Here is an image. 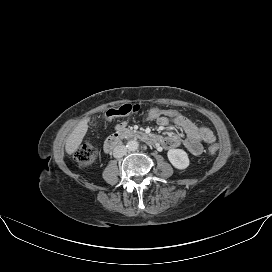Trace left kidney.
I'll list each match as a JSON object with an SVG mask.
<instances>
[{
	"instance_id": "obj_1",
	"label": "left kidney",
	"mask_w": 272,
	"mask_h": 272,
	"mask_svg": "<svg viewBox=\"0 0 272 272\" xmlns=\"http://www.w3.org/2000/svg\"><path fill=\"white\" fill-rule=\"evenodd\" d=\"M170 163L176 169H186L189 166L188 154L182 149H170L167 153Z\"/></svg>"
}]
</instances>
